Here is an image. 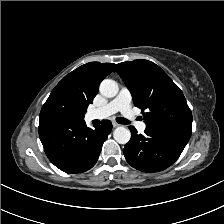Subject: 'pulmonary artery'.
I'll use <instances>...</instances> for the list:
<instances>
[{"label":"pulmonary artery","instance_id":"e3ab8cb5","mask_svg":"<svg viewBox=\"0 0 224 224\" xmlns=\"http://www.w3.org/2000/svg\"><path fill=\"white\" fill-rule=\"evenodd\" d=\"M131 94L126 87H122L117 96L106 105L94 109L90 112L92 119H104L108 116L120 112L125 118L132 119L133 111L131 110ZM136 127L140 132L146 129L144 122L136 123Z\"/></svg>","mask_w":224,"mask_h":224}]
</instances>
